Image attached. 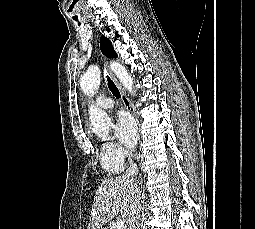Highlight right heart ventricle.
<instances>
[{"instance_id":"obj_1","label":"right heart ventricle","mask_w":255,"mask_h":229,"mask_svg":"<svg viewBox=\"0 0 255 229\" xmlns=\"http://www.w3.org/2000/svg\"><path fill=\"white\" fill-rule=\"evenodd\" d=\"M99 160L102 168L111 174L120 173L124 168V164L122 163H115L109 161L105 156L102 146L100 148Z\"/></svg>"}]
</instances>
